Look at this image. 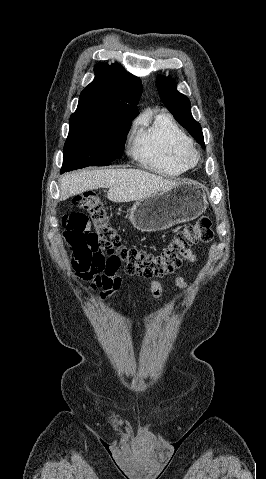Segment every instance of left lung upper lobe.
Segmentation results:
<instances>
[{"label": "left lung upper lobe", "mask_w": 266, "mask_h": 479, "mask_svg": "<svg viewBox=\"0 0 266 479\" xmlns=\"http://www.w3.org/2000/svg\"><path fill=\"white\" fill-rule=\"evenodd\" d=\"M156 85L159 96L166 108L173 114L175 119L188 130L197 142L204 147L202 129L200 124L192 117L189 99L179 93L174 82L167 77H157Z\"/></svg>", "instance_id": "5c2ea615"}]
</instances>
